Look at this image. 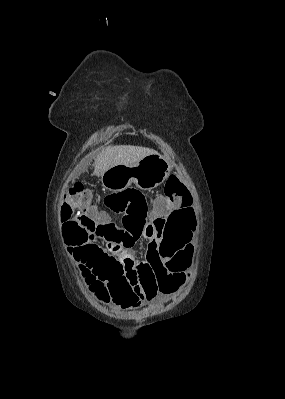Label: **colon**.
<instances>
[{
    "label": "colon",
    "mask_w": 285,
    "mask_h": 399,
    "mask_svg": "<svg viewBox=\"0 0 285 399\" xmlns=\"http://www.w3.org/2000/svg\"><path fill=\"white\" fill-rule=\"evenodd\" d=\"M164 193L155 199L157 207L171 212L165 222L158 224V233L164 238L162 244L152 250L147 259L136 260L133 250L144 235L148 221L147 203L140 194L126 190L104 196L101 206L93 200L91 189L82 182L72 184L64 194L60 208L62 232L65 241L75 245L81 266L77 272L84 289L92 293L99 291L105 297L108 290L123 306H132L145 297L150 299L158 294V283L170 274L186 269L188 261L183 252L185 236L170 237V229L189 221L191 210L179 197L187 191L184 182L170 178L164 184ZM105 209L120 213L119 222L110 220ZM112 257L127 262L136 270V278L119 283L116 275L103 270V261ZM122 270V263L119 265ZM141 292V294H140Z\"/></svg>",
    "instance_id": "1"
}]
</instances>
